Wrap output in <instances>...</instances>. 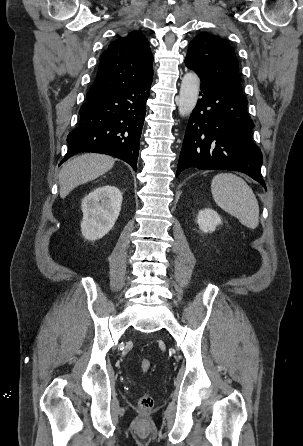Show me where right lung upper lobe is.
Instances as JSON below:
<instances>
[{"label": "right lung upper lobe", "mask_w": 303, "mask_h": 446, "mask_svg": "<svg viewBox=\"0 0 303 446\" xmlns=\"http://www.w3.org/2000/svg\"><path fill=\"white\" fill-rule=\"evenodd\" d=\"M152 62L149 43L143 34L132 31L118 38L101 55L99 71L86 99L152 77Z\"/></svg>", "instance_id": "obj_1"}]
</instances>
